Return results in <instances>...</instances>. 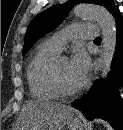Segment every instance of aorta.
Instances as JSON below:
<instances>
[{"label":"aorta","instance_id":"obj_1","mask_svg":"<svg viewBox=\"0 0 123 130\" xmlns=\"http://www.w3.org/2000/svg\"><path fill=\"white\" fill-rule=\"evenodd\" d=\"M76 17L95 20L103 35V60L101 78L105 79L111 70V64L116 48V23L113 16L102 6L80 4L73 10Z\"/></svg>","mask_w":123,"mask_h":130}]
</instances>
